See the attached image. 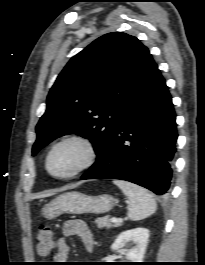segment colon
I'll use <instances>...</instances> for the list:
<instances>
[{
	"label": "colon",
	"mask_w": 205,
	"mask_h": 265,
	"mask_svg": "<svg viewBox=\"0 0 205 265\" xmlns=\"http://www.w3.org/2000/svg\"><path fill=\"white\" fill-rule=\"evenodd\" d=\"M35 242L37 252L41 256H48L57 245L53 231L47 226L40 228Z\"/></svg>",
	"instance_id": "5ec220e1"
}]
</instances>
